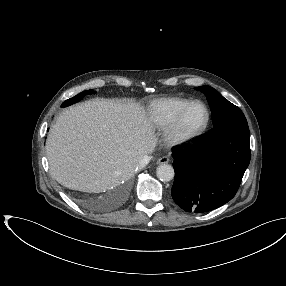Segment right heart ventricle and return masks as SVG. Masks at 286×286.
Wrapping results in <instances>:
<instances>
[{"mask_svg":"<svg viewBox=\"0 0 286 286\" xmlns=\"http://www.w3.org/2000/svg\"><path fill=\"white\" fill-rule=\"evenodd\" d=\"M192 100L181 97L160 98L147 109V121L156 130L167 128Z\"/></svg>","mask_w":286,"mask_h":286,"instance_id":"obj_1","label":"right heart ventricle"}]
</instances>
